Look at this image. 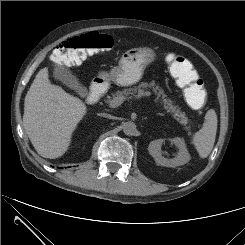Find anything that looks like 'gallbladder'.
<instances>
[{
    "label": "gallbladder",
    "instance_id": "1",
    "mask_svg": "<svg viewBox=\"0 0 245 245\" xmlns=\"http://www.w3.org/2000/svg\"><path fill=\"white\" fill-rule=\"evenodd\" d=\"M53 76L56 80L62 82L64 85L74 90L80 96H85L87 94L86 88L79 82L73 73L64 66L58 67Z\"/></svg>",
    "mask_w": 245,
    "mask_h": 245
}]
</instances>
